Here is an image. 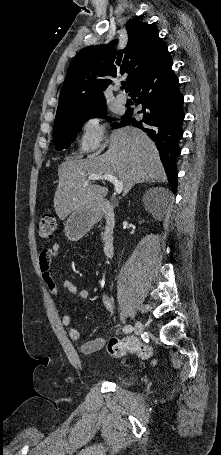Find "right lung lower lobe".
<instances>
[{
    "mask_svg": "<svg viewBox=\"0 0 221 455\" xmlns=\"http://www.w3.org/2000/svg\"><path fill=\"white\" fill-rule=\"evenodd\" d=\"M136 105L141 104V121L131 118L128 109L121 125L132 123L145 131L155 142L172 191L177 188L176 160L180 155L183 136V96L178 78L172 71V59L165 50L149 70L139 79L129 93Z\"/></svg>",
    "mask_w": 221,
    "mask_h": 455,
    "instance_id": "right-lung-lower-lobe-1",
    "label": "right lung lower lobe"
}]
</instances>
